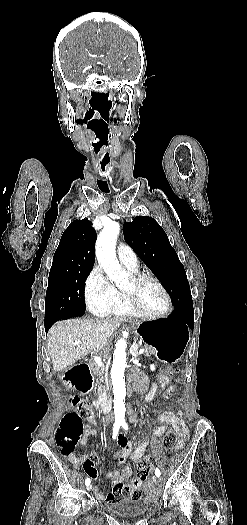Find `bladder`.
Returning <instances> with one entry per match:
<instances>
[{
  "label": "bladder",
  "instance_id": "obj_1",
  "mask_svg": "<svg viewBox=\"0 0 247 525\" xmlns=\"http://www.w3.org/2000/svg\"><path fill=\"white\" fill-rule=\"evenodd\" d=\"M155 499L144 495L141 498H124L115 502H106V511L116 517H142L154 504Z\"/></svg>",
  "mask_w": 247,
  "mask_h": 525
}]
</instances>
